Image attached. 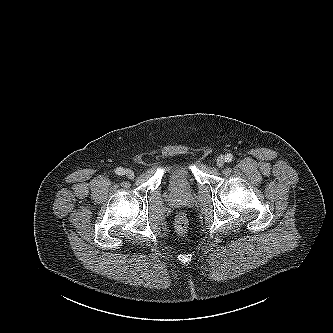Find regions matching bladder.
I'll return each mask as SVG.
<instances>
[{"label":"bladder","mask_w":333,"mask_h":333,"mask_svg":"<svg viewBox=\"0 0 333 333\" xmlns=\"http://www.w3.org/2000/svg\"><path fill=\"white\" fill-rule=\"evenodd\" d=\"M169 187L174 191L187 190L193 182L190 163L181 161L173 165L168 172Z\"/></svg>","instance_id":"1"}]
</instances>
